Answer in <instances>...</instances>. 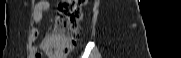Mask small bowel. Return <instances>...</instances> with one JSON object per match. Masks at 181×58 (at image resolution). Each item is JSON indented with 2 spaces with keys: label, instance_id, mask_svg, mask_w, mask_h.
<instances>
[{
  "label": "small bowel",
  "instance_id": "obj_1",
  "mask_svg": "<svg viewBox=\"0 0 181 58\" xmlns=\"http://www.w3.org/2000/svg\"><path fill=\"white\" fill-rule=\"evenodd\" d=\"M50 8V3L48 1H38L33 10V19L37 24H40L43 19V15L46 11H48ZM39 35V29L36 28L34 30V37H38ZM48 38L46 37L43 39L39 47H32V54L36 57L38 53H40V50L43 51H49L48 48ZM37 58V57H36Z\"/></svg>",
  "mask_w": 181,
  "mask_h": 58
}]
</instances>
